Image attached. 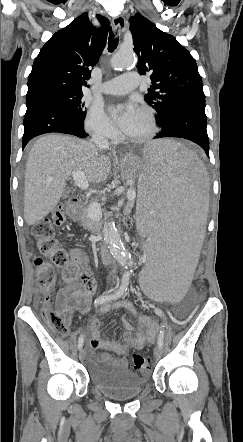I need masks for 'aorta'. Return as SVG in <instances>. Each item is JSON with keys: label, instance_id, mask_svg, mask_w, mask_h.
I'll return each instance as SVG.
<instances>
[{"label": "aorta", "instance_id": "1", "mask_svg": "<svg viewBox=\"0 0 243 442\" xmlns=\"http://www.w3.org/2000/svg\"><path fill=\"white\" fill-rule=\"evenodd\" d=\"M111 66L115 70H124L135 66L133 52H118L111 60ZM103 235L109 244L110 251L117 261L124 264H131V254L126 250L116 228L114 220L105 224Z\"/></svg>", "mask_w": 243, "mask_h": 442}]
</instances>
